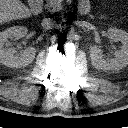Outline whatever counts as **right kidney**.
<instances>
[{"label":"right kidney","instance_id":"obj_1","mask_svg":"<svg viewBox=\"0 0 128 128\" xmlns=\"http://www.w3.org/2000/svg\"><path fill=\"white\" fill-rule=\"evenodd\" d=\"M27 28L24 26H13L0 32V63L7 67L21 68L31 64L35 58L36 50L34 47L17 53L15 48L5 47L8 39H20L27 34Z\"/></svg>","mask_w":128,"mask_h":128}]
</instances>
